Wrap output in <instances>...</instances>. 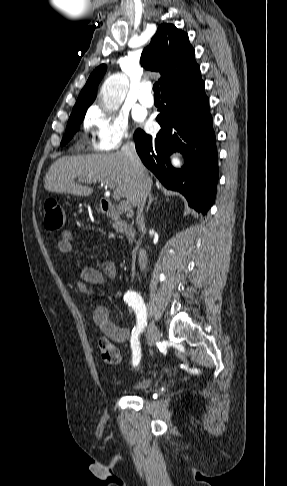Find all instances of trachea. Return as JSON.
<instances>
[{
  "label": "trachea",
  "instance_id": "obj_1",
  "mask_svg": "<svg viewBox=\"0 0 287 486\" xmlns=\"http://www.w3.org/2000/svg\"><path fill=\"white\" fill-rule=\"evenodd\" d=\"M153 91H154V95H160V88H159V83L158 82H156L153 85Z\"/></svg>",
  "mask_w": 287,
  "mask_h": 486
}]
</instances>
